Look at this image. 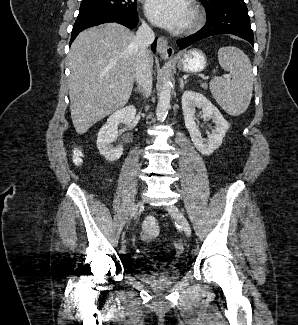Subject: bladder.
Instances as JSON below:
<instances>
[{"mask_svg":"<svg viewBox=\"0 0 298 325\" xmlns=\"http://www.w3.org/2000/svg\"><path fill=\"white\" fill-rule=\"evenodd\" d=\"M139 279L152 289H165L180 278V271L175 268H164L152 272L141 273Z\"/></svg>","mask_w":298,"mask_h":325,"instance_id":"obj_1","label":"bladder"}]
</instances>
